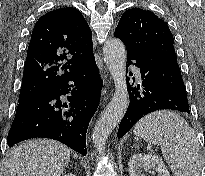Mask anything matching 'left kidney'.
I'll return each mask as SVG.
<instances>
[{
	"instance_id": "1",
	"label": "left kidney",
	"mask_w": 205,
	"mask_h": 176,
	"mask_svg": "<svg viewBox=\"0 0 205 176\" xmlns=\"http://www.w3.org/2000/svg\"><path fill=\"white\" fill-rule=\"evenodd\" d=\"M130 176H145L144 170L154 169L158 176H170L162 159L151 154H135L128 163Z\"/></svg>"
}]
</instances>
